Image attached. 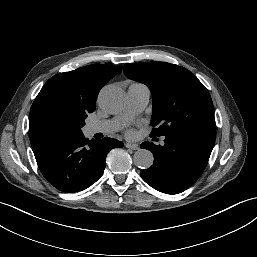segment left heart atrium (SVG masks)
<instances>
[{"label": "left heart atrium", "mask_w": 257, "mask_h": 257, "mask_svg": "<svg viewBox=\"0 0 257 257\" xmlns=\"http://www.w3.org/2000/svg\"><path fill=\"white\" fill-rule=\"evenodd\" d=\"M128 135H129V136H132V135H133V132H132V131H129V132H128Z\"/></svg>", "instance_id": "1"}]
</instances>
